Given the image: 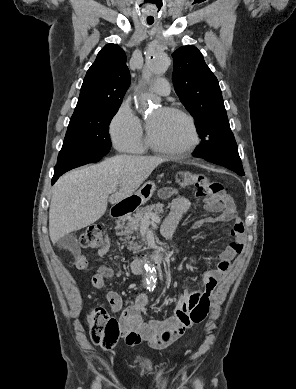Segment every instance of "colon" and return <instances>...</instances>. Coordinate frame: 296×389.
Segmentation results:
<instances>
[{
    "mask_svg": "<svg viewBox=\"0 0 296 389\" xmlns=\"http://www.w3.org/2000/svg\"><path fill=\"white\" fill-rule=\"evenodd\" d=\"M177 181L181 186H195L196 197L203 199L206 206H217L224 201L223 186L221 183L211 180L204 174H192L187 171L180 172ZM79 243L85 248L102 249L105 246V239L102 228L98 225H90L80 232ZM206 312H195L192 314V321L201 322ZM89 331L94 344L111 349L121 335V328L118 321L111 317L106 308L96 307L89 314Z\"/></svg>",
    "mask_w": 296,
    "mask_h": 389,
    "instance_id": "1",
    "label": "colon"
}]
</instances>
